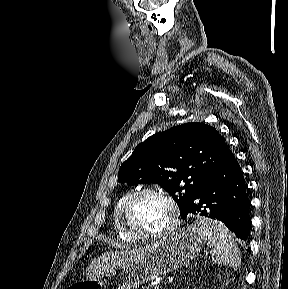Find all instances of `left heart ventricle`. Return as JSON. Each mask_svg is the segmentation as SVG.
<instances>
[{"mask_svg":"<svg viewBox=\"0 0 288 289\" xmlns=\"http://www.w3.org/2000/svg\"><path fill=\"white\" fill-rule=\"evenodd\" d=\"M126 218L135 230L152 233L169 223L170 210L163 199L154 195H143L129 208Z\"/></svg>","mask_w":288,"mask_h":289,"instance_id":"left-heart-ventricle-1","label":"left heart ventricle"}]
</instances>
